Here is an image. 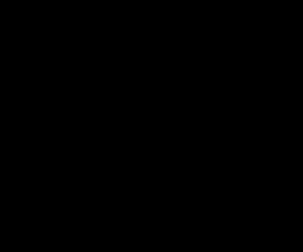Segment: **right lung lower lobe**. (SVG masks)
<instances>
[{
  "label": "right lung lower lobe",
  "mask_w": 303,
  "mask_h": 252,
  "mask_svg": "<svg viewBox=\"0 0 303 252\" xmlns=\"http://www.w3.org/2000/svg\"><path fill=\"white\" fill-rule=\"evenodd\" d=\"M77 156L90 180L94 183H105L119 173V166L109 163L107 158L97 152V145L106 146L109 137L98 128L82 126L78 129Z\"/></svg>",
  "instance_id": "obj_1"
}]
</instances>
